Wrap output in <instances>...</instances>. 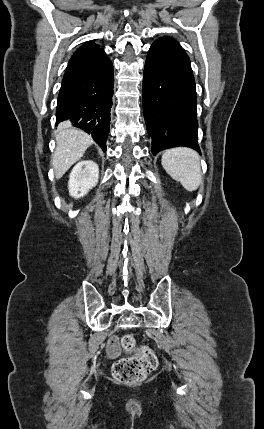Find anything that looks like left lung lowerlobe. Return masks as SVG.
<instances>
[{
    "label": "left lung lower lobe",
    "mask_w": 264,
    "mask_h": 429,
    "mask_svg": "<svg viewBox=\"0 0 264 429\" xmlns=\"http://www.w3.org/2000/svg\"><path fill=\"white\" fill-rule=\"evenodd\" d=\"M142 99L152 154L176 146L200 153L195 81L189 57L174 39L161 37L150 47Z\"/></svg>",
    "instance_id": "obj_1"
}]
</instances>
